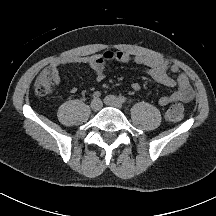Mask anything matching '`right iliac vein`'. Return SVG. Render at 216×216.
<instances>
[{"mask_svg": "<svg viewBox=\"0 0 216 216\" xmlns=\"http://www.w3.org/2000/svg\"><path fill=\"white\" fill-rule=\"evenodd\" d=\"M90 107L93 111H99L102 107V102L99 99H93L90 104Z\"/></svg>", "mask_w": 216, "mask_h": 216, "instance_id": "right-iliac-vein-1", "label": "right iliac vein"}]
</instances>
